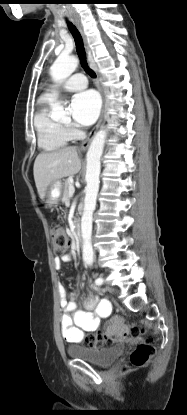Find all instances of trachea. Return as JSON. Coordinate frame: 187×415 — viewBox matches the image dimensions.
<instances>
[{"label":"trachea","instance_id":"obj_1","mask_svg":"<svg viewBox=\"0 0 187 415\" xmlns=\"http://www.w3.org/2000/svg\"><path fill=\"white\" fill-rule=\"evenodd\" d=\"M68 27L69 30L74 38L75 41V45H76V50L78 53V56L80 58V62L82 67L85 69V71L89 74L90 77L92 78H96V74L95 72L89 68L87 60H86V52L84 49V44H83V39L82 36L80 34V32L78 31V29L72 24V23H68Z\"/></svg>","mask_w":187,"mask_h":415}]
</instances>
